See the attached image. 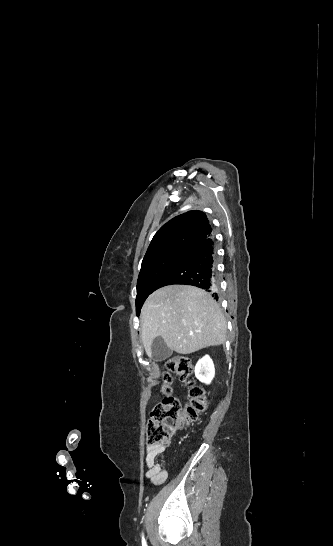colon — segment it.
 Instances as JSON below:
<instances>
[{"instance_id":"colon-1","label":"colon","mask_w":333,"mask_h":546,"mask_svg":"<svg viewBox=\"0 0 333 546\" xmlns=\"http://www.w3.org/2000/svg\"><path fill=\"white\" fill-rule=\"evenodd\" d=\"M164 377V397L151 412L147 425V442L150 445H168L172 434L195 421L208 409L205 389L193 379V364L184 356H175L166 364ZM177 374L188 385L190 401L183 409L180 402L171 395L170 374Z\"/></svg>"}]
</instances>
